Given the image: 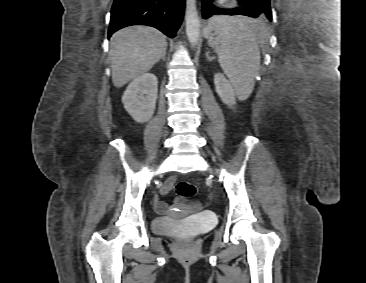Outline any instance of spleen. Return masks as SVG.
I'll list each match as a JSON object with an SVG mask.
<instances>
[{
	"label": "spleen",
	"instance_id": "3e777b00",
	"mask_svg": "<svg viewBox=\"0 0 366 283\" xmlns=\"http://www.w3.org/2000/svg\"><path fill=\"white\" fill-rule=\"evenodd\" d=\"M212 31L218 33L216 39L210 36ZM206 36L238 98L245 100L253 91L260 66L258 41L263 36L262 25L257 20L216 16L208 24Z\"/></svg>",
	"mask_w": 366,
	"mask_h": 283
}]
</instances>
